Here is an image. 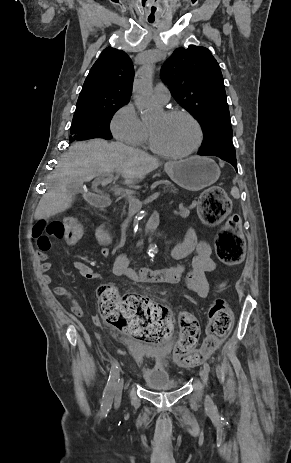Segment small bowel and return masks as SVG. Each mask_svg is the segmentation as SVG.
I'll use <instances>...</instances> for the list:
<instances>
[{"label": "small bowel", "instance_id": "c3829d8e", "mask_svg": "<svg viewBox=\"0 0 291 463\" xmlns=\"http://www.w3.org/2000/svg\"><path fill=\"white\" fill-rule=\"evenodd\" d=\"M38 246V259L41 261L40 271L42 272L43 282L50 284L52 282L51 275L48 274L52 268V262L48 261V252L51 249V242L48 236H34ZM76 240H67L69 245L75 244ZM94 241L101 246L100 253L103 257L110 256L108 245L112 241L110 233L105 227L100 226L94 232ZM194 253L189 264L180 262L175 266L162 270H149L146 268L133 269L128 266L126 255L120 254L114 262L113 272L118 277H125L136 282L147 283H163L177 284L183 282L189 292L199 297L206 298L210 295V285L207 279V273L216 269V263L212 259V250L209 243L198 241L197 234L194 228L189 227L185 231L183 241L172 247L171 255L175 259L184 260ZM73 266L79 275L86 279L95 280L97 275L94 270L86 263L75 260ZM227 279L222 283V288L225 287ZM53 293L59 297L66 298L71 306V311L76 316H83L84 310L72 295V293L64 286H55ZM94 326H98L100 321L97 316L92 320ZM96 337L100 338V333L96 332Z\"/></svg>", "mask_w": 291, "mask_h": 463}]
</instances>
